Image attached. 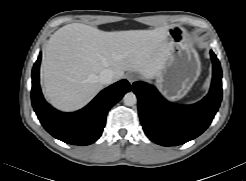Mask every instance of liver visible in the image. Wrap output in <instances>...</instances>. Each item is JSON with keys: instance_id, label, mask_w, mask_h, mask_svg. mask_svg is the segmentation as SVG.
Instances as JSON below:
<instances>
[{"instance_id": "liver-1", "label": "liver", "mask_w": 246, "mask_h": 181, "mask_svg": "<svg viewBox=\"0 0 246 181\" xmlns=\"http://www.w3.org/2000/svg\"><path fill=\"white\" fill-rule=\"evenodd\" d=\"M167 30L105 32L72 23L58 29L49 39L41 63L44 94L56 108L77 110L101 89L99 73L109 68L114 81L125 71L155 77L169 53Z\"/></svg>"}]
</instances>
